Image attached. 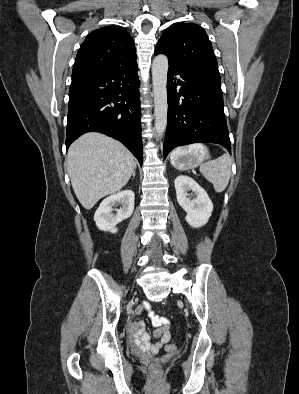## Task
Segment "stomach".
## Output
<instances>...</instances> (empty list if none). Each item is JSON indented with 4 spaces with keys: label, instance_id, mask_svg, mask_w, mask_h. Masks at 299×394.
Segmentation results:
<instances>
[{
    "label": "stomach",
    "instance_id": "obj_1",
    "mask_svg": "<svg viewBox=\"0 0 299 394\" xmlns=\"http://www.w3.org/2000/svg\"><path fill=\"white\" fill-rule=\"evenodd\" d=\"M205 150L202 148L189 150L178 149L171 156V164L179 170H187L198 166L204 159Z\"/></svg>",
    "mask_w": 299,
    "mask_h": 394
}]
</instances>
